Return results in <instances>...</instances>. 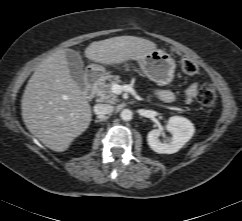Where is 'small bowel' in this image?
<instances>
[{"mask_svg": "<svg viewBox=\"0 0 242 221\" xmlns=\"http://www.w3.org/2000/svg\"><path fill=\"white\" fill-rule=\"evenodd\" d=\"M197 92V83L193 82L189 85L186 93V102L191 103ZM154 94L160 100L169 102L174 99V94L171 91L156 89Z\"/></svg>", "mask_w": 242, "mask_h": 221, "instance_id": "small-bowel-1", "label": "small bowel"}]
</instances>
